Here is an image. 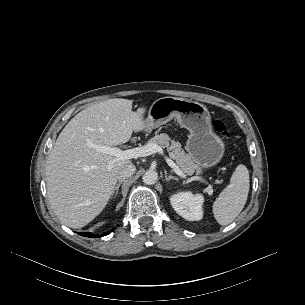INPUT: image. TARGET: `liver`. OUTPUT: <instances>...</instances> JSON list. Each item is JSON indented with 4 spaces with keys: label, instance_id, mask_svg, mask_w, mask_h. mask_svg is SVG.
Instances as JSON below:
<instances>
[{
    "label": "liver",
    "instance_id": "obj_1",
    "mask_svg": "<svg viewBox=\"0 0 305 305\" xmlns=\"http://www.w3.org/2000/svg\"><path fill=\"white\" fill-rule=\"evenodd\" d=\"M144 112V107L133 112L132 100L108 99L79 112L61 131L47 158L46 185L51 207L66 226L81 228L98 216L112 196L118 169L131 163L89 144L128 142L133 132L145 130Z\"/></svg>",
    "mask_w": 305,
    "mask_h": 305
}]
</instances>
